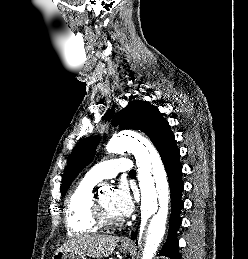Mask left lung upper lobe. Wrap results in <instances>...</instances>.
<instances>
[{"instance_id":"left-lung-upper-lobe-1","label":"left lung upper lobe","mask_w":248,"mask_h":259,"mask_svg":"<svg viewBox=\"0 0 248 259\" xmlns=\"http://www.w3.org/2000/svg\"><path fill=\"white\" fill-rule=\"evenodd\" d=\"M112 124L114 126L119 124L120 129L141 130L148 135L157 150L175 140L167 120L163 118L158 108L146 101H130L125 109L115 115ZM99 141L98 136H92L77 144L63 174L62 196L78 173L93 160Z\"/></svg>"}]
</instances>
